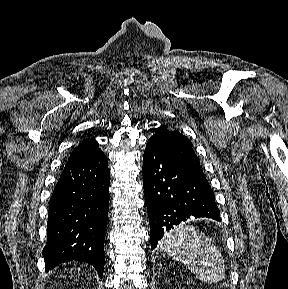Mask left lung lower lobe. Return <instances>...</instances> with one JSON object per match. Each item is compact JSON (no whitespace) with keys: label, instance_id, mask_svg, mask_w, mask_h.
Segmentation results:
<instances>
[{"label":"left lung lower lobe","instance_id":"1","mask_svg":"<svg viewBox=\"0 0 288 289\" xmlns=\"http://www.w3.org/2000/svg\"><path fill=\"white\" fill-rule=\"evenodd\" d=\"M142 173L152 250L166 230L191 216L220 221L206 177L171 159L152 140L146 145Z\"/></svg>","mask_w":288,"mask_h":289}]
</instances>
